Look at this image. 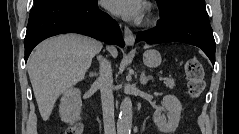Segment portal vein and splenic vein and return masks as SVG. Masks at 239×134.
Masks as SVG:
<instances>
[{"label": "portal vein and splenic vein", "mask_w": 239, "mask_h": 134, "mask_svg": "<svg viewBox=\"0 0 239 134\" xmlns=\"http://www.w3.org/2000/svg\"><path fill=\"white\" fill-rule=\"evenodd\" d=\"M159 80H164V77L160 76V77H159Z\"/></svg>", "instance_id": "1"}]
</instances>
